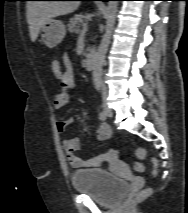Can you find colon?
I'll list each match as a JSON object with an SVG mask.
<instances>
[{
	"label": "colon",
	"mask_w": 188,
	"mask_h": 213,
	"mask_svg": "<svg viewBox=\"0 0 188 213\" xmlns=\"http://www.w3.org/2000/svg\"><path fill=\"white\" fill-rule=\"evenodd\" d=\"M50 67L52 69V71L56 74L59 75L61 73V65L58 59H52L50 61ZM136 155L139 158V161L134 163V170L136 172H142L144 170V164L142 163V159L145 157L146 155V150L142 147H139L136 150ZM153 164L156 167L157 166V161L153 160ZM149 194V189H143L138 195L137 198L141 199L146 197Z\"/></svg>",
	"instance_id": "colon-1"
}]
</instances>
